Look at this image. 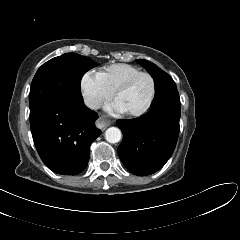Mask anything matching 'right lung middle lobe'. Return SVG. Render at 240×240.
<instances>
[{
    "label": "right lung middle lobe",
    "instance_id": "right-lung-middle-lobe-1",
    "mask_svg": "<svg viewBox=\"0 0 240 240\" xmlns=\"http://www.w3.org/2000/svg\"><path fill=\"white\" fill-rule=\"evenodd\" d=\"M97 65L76 53H66L43 64L31 84L30 112L55 100L82 101V76Z\"/></svg>",
    "mask_w": 240,
    "mask_h": 240
}]
</instances>
